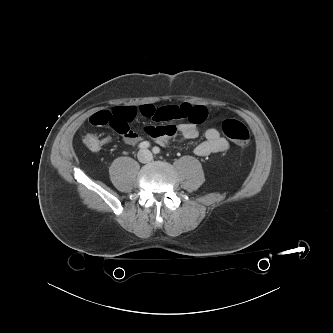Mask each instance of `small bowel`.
<instances>
[{
	"label": "small bowel",
	"mask_w": 333,
	"mask_h": 333,
	"mask_svg": "<svg viewBox=\"0 0 333 333\" xmlns=\"http://www.w3.org/2000/svg\"><path fill=\"white\" fill-rule=\"evenodd\" d=\"M127 108L129 107L107 111L111 112L116 118V123L111 126L123 136L126 144L135 145L142 141V136L132 130L129 125L124 128L118 127L119 124L123 123L122 118ZM139 111L144 117L156 123L145 127V133L163 146L174 141L178 136L186 140L196 139L199 136L198 125L203 123L208 116V110L204 106L189 103L162 108L143 105L139 108ZM99 112L89 118L92 125L99 126L96 120ZM177 120H185V122L174 124ZM228 149L229 142L220 135L217 129L209 128L204 133V140L196 145L194 152L198 156L205 157L213 153L225 152Z\"/></svg>",
	"instance_id": "obj_1"
}]
</instances>
